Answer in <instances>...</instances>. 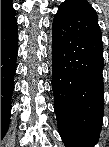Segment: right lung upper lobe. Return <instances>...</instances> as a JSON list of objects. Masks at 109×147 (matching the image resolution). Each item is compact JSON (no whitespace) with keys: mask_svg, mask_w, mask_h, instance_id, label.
<instances>
[{"mask_svg":"<svg viewBox=\"0 0 109 147\" xmlns=\"http://www.w3.org/2000/svg\"><path fill=\"white\" fill-rule=\"evenodd\" d=\"M15 16L11 0H1V23Z\"/></svg>","mask_w":109,"mask_h":147,"instance_id":"cb5924a9","label":"right lung upper lobe"}]
</instances>
